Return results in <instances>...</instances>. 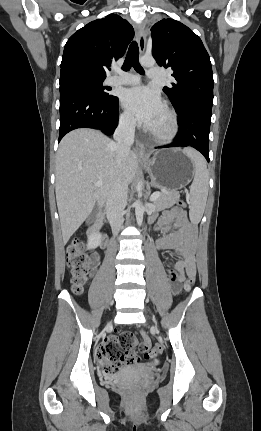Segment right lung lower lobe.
I'll use <instances>...</instances> for the list:
<instances>
[{
	"label": "right lung lower lobe",
	"mask_w": 261,
	"mask_h": 431,
	"mask_svg": "<svg viewBox=\"0 0 261 431\" xmlns=\"http://www.w3.org/2000/svg\"><path fill=\"white\" fill-rule=\"evenodd\" d=\"M118 98L102 99L86 88H60L59 141L77 128H93L111 135L118 124Z\"/></svg>",
	"instance_id": "right-lung-lower-lobe-1"
}]
</instances>
